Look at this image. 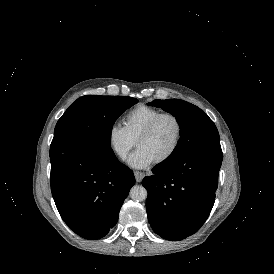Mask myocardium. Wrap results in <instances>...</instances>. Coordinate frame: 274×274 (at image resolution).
<instances>
[{"instance_id":"obj_1","label":"myocardium","mask_w":274,"mask_h":274,"mask_svg":"<svg viewBox=\"0 0 274 274\" xmlns=\"http://www.w3.org/2000/svg\"><path fill=\"white\" fill-rule=\"evenodd\" d=\"M172 118L177 126V133H176V137L173 143L172 148L170 149V151L161 159L153 162L154 165L159 166L162 164H165L166 162L170 161L173 156L176 154L181 139H182V135H183V124L181 119L173 112H163L160 113L159 115H157L153 120H151L146 126L145 128L137 135L136 139H135V145L137 146L138 142L142 139L147 137L148 135H150L153 130L155 129V127L157 126V124L164 118Z\"/></svg>"}]
</instances>
